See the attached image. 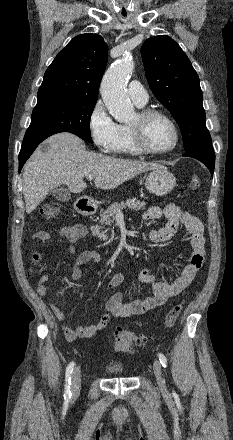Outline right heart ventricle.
<instances>
[{
  "mask_svg": "<svg viewBox=\"0 0 233 440\" xmlns=\"http://www.w3.org/2000/svg\"><path fill=\"white\" fill-rule=\"evenodd\" d=\"M116 153L133 156L141 154L135 147L129 128L126 125H121V138Z\"/></svg>",
  "mask_w": 233,
  "mask_h": 440,
  "instance_id": "e07e8e85",
  "label": "right heart ventricle"
}]
</instances>
